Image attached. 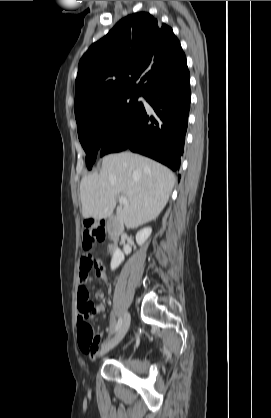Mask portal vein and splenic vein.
Segmentation results:
<instances>
[{
	"label": "portal vein and splenic vein",
	"instance_id": "portal-vein-and-splenic-vein-1",
	"mask_svg": "<svg viewBox=\"0 0 271 418\" xmlns=\"http://www.w3.org/2000/svg\"><path fill=\"white\" fill-rule=\"evenodd\" d=\"M119 203L121 205H128V200H127V198L125 196H120L119 197Z\"/></svg>",
	"mask_w": 271,
	"mask_h": 418
}]
</instances>
